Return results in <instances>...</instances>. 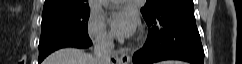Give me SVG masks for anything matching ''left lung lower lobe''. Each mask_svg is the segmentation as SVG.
<instances>
[{
  "label": "left lung lower lobe",
  "instance_id": "obj_1",
  "mask_svg": "<svg viewBox=\"0 0 242 64\" xmlns=\"http://www.w3.org/2000/svg\"><path fill=\"white\" fill-rule=\"evenodd\" d=\"M144 19L150 28L145 45L133 55L134 64L163 60L203 64L204 50L196 27L193 0L169 1Z\"/></svg>",
  "mask_w": 242,
  "mask_h": 64
}]
</instances>
